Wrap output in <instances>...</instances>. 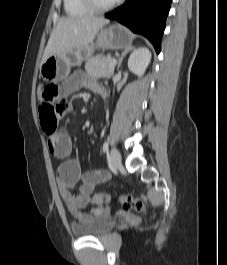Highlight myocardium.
I'll return each instance as SVG.
<instances>
[{"instance_id":"1","label":"myocardium","mask_w":227,"mask_h":265,"mask_svg":"<svg viewBox=\"0 0 227 265\" xmlns=\"http://www.w3.org/2000/svg\"><path fill=\"white\" fill-rule=\"evenodd\" d=\"M84 5L91 11L96 13L106 12L117 6L121 0H114L108 5H99L96 0H82Z\"/></svg>"}]
</instances>
